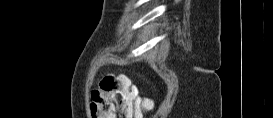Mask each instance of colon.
I'll list each match as a JSON object with an SVG mask.
<instances>
[{
  "label": "colon",
  "mask_w": 273,
  "mask_h": 118,
  "mask_svg": "<svg viewBox=\"0 0 273 118\" xmlns=\"http://www.w3.org/2000/svg\"><path fill=\"white\" fill-rule=\"evenodd\" d=\"M91 116L93 118H115L117 110L129 118H141L149 111L153 102L142 99L129 80L116 76H105L99 83V89L91 95Z\"/></svg>",
  "instance_id": "obj_1"
}]
</instances>
